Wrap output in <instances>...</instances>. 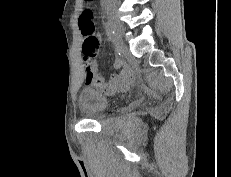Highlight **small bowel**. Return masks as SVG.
I'll return each mask as SVG.
<instances>
[{
	"mask_svg": "<svg viewBox=\"0 0 231 177\" xmlns=\"http://www.w3.org/2000/svg\"><path fill=\"white\" fill-rule=\"evenodd\" d=\"M85 80L88 85L100 89L105 94L124 92L135 83V76L128 67H124L119 73H112L108 82L95 71L94 63L84 61Z\"/></svg>",
	"mask_w": 231,
	"mask_h": 177,
	"instance_id": "1",
	"label": "small bowel"
}]
</instances>
